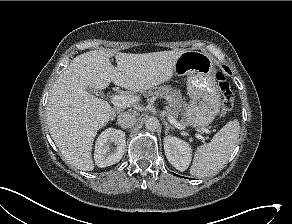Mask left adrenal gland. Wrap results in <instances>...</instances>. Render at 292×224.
<instances>
[{"instance_id":"1","label":"left adrenal gland","mask_w":292,"mask_h":224,"mask_svg":"<svg viewBox=\"0 0 292 224\" xmlns=\"http://www.w3.org/2000/svg\"><path fill=\"white\" fill-rule=\"evenodd\" d=\"M163 123H164V125H165V134L167 135L168 130H169V129H173V127L170 126V125L166 122V120H164Z\"/></svg>"}]
</instances>
